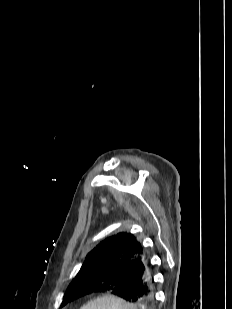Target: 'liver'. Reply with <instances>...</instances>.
<instances>
[{
  "instance_id": "obj_1",
  "label": "liver",
  "mask_w": 232,
  "mask_h": 309,
  "mask_svg": "<svg viewBox=\"0 0 232 309\" xmlns=\"http://www.w3.org/2000/svg\"><path fill=\"white\" fill-rule=\"evenodd\" d=\"M80 309H137V307L116 296L105 295L88 302Z\"/></svg>"
}]
</instances>
